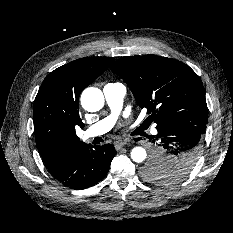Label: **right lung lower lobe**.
<instances>
[{
    "instance_id": "98d812e1",
    "label": "right lung lower lobe",
    "mask_w": 233,
    "mask_h": 233,
    "mask_svg": "<svg viewBox=\"0 0 233 233\" xmlns=\"http://www.w3.org/2000/svg\"><path fill=\"white\" fill-rule=\"evenodd\" d=\"M116 155L111 144L80 147L60 154L51 163L46 164L51 175L64 186L71 189H85L101 181L110 168Z\"/></svg>"
}]
</instances>
